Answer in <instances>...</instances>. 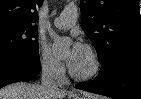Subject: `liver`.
Returning a JSON list of instances; mask_svg holds the SVG:
<instances>
[{
	"label": "liver",
	"mask_w": 141,
	"mask_h": 99,
	"mask_svg": "<svg viewBox=\"0 0 141 99\" xmlns=\"http://www.w3.org/2000/svg\"><path fill=\"white\" fill-rule=\"evenodd\" d=\"M65 91L60 89L46 90L41 85L17 82L0 89V99H63ZM88 99H96L94 95L81 92Z\"/></svg>",
	"instance_id": "6515ba94"
}]
</instances>
